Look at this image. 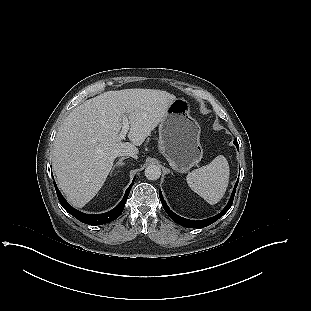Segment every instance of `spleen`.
I'll use <instances>...</instances> for the list:
<instances>
[{
    "label": "spleen",
    "instance_id": "obj_1",
    "mask_svg": "<svg viewBox=\"0 0 311 311\" xmlns=\"http://www.w3.org/2000/svg\"><path fill=\"white\" fill-rule=\"evenodd\" d=\"M229 164L223 155L214 158L209 164L188 173L189 187L213 205L224 196L229 183Z\"/></svg>",
    "mask_w": 311,
    "mask_h": 311
}]
</instances>
